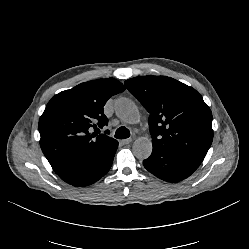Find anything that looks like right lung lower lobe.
<instances>
[{"label": "right lung lower lobe", "mask_w": 249, "mask_h": 249, "mask_svg": "<svg viewBox=\"0 0 249 249\" xmlns=\"http://www.w3.org/2000/svg\"><path fill=\"white\" fill-rule=\"evenodd\" d=\"M117 148L118 141L116 140L96 157L82 166L61 175L60 178L74 186H88L95 183L111 168Z\"/></svg>", "instance_id": "obj_1"}]
</instances>
